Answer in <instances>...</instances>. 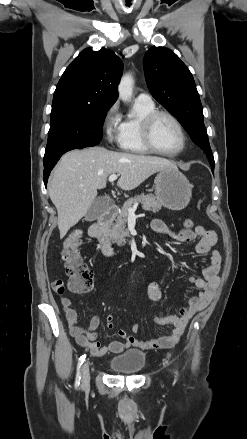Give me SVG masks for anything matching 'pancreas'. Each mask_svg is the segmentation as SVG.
Returning <instances> with one entry per match:
<instances>
[{
	"label": "pancreas",
	"mask_w": 247,
	"mask_h": 439,
	"mask_svg": "<svg viewBox=\"0 0 247 439\" xmlns=\"http://www.w3.org/2000/svg\"><path fill=\"white\" fill-rule=\"evenodd\" d=\"M135 203H141L144 210L154 213L159 212L162 208L161 203L152 194H141L128 199L119 210L115 223L110 225L107 233L109 239L118 246H124L126 243L125 238L130 236L129 231L126 229L128 209Z\"/></svg>",
	"instance_id": "pancreas-1"
}]
</instances>
